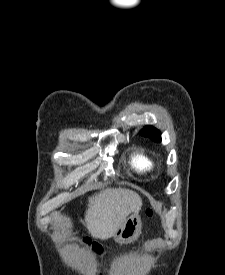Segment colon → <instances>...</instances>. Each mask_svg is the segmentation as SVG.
<instances>
[{
    "label": "colon",
    "instance_id": "1",
    "mask_svg": "<svg viewBox=\"0 0 225 275\" xmlns=\"http://www.w3.org/2000/svg\"><path fill=\"white\" fill-rule=\"evenodd\" d=\"M147 215H148L149 217H152V216H153V210H152V209H148V210H147ZM84 243H85L87 246L91 247L92 250H93L97 255H103V251H102V249L100 248L99 245H97V244H95V243H91V242L88 241V240L84 241Z\"/></svg>",
    "mask_w": 225,
    "mask_h": 275
}]
</instances>
